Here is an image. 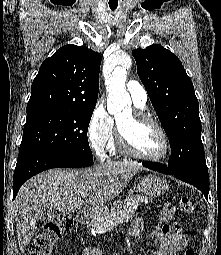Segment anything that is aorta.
Returning <instances> with one entry per match:
<instances>
[{"mask_svg": "<svg viewBox=\"0 0 221 255\" xmlns=\"http://www.w3.org/2000/svg\"><path fill=\"white\" fill-rule=\"evenodd\" d=\"M131 62V58L124 55L121 58V65H116L112 72H105L108 90L107 110L115 117L121 116L131 103L125 88L127 69L131 66Z\"/></svg>", "mask_w": 221, "mask_h": 255, "instance_id": "762f6f07", "label": "aorta"}]
</instances>
